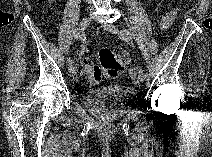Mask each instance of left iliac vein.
Returning a JSON list of instances; mask_svg holds the SVG:
<instances>
[{"mask_svg":"<svg viewBox=\"0 0 212 157\" xmlns=\"http://www.w3.org/2000/svg\"><path fill=\"white\" fill-rule=\"evenodd\" d=\"M105 30H107L108 32L112 33V34H119V29L110 23H102L101 25ZM138 79L140 82H144L145 78H144V72L141 70L138 74Z\"/></svg>","mask_w":212,"mask_h":157,"instance_id":"1","label":"left iliac vein"}]
</instances>
